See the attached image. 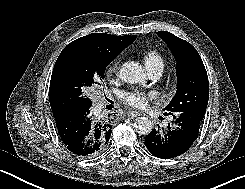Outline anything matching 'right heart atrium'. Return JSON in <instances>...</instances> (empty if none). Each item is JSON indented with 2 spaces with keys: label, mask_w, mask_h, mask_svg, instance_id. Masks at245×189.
I'll list each match as a JSON object with an SVG mask.
<instances>
[{
  "label": "right heart atrium",
  "mask_w": 245,
  "mask_h": 189,
  "mask_svg": "<svg viewBox=\"0 0 245 189\" xmlns=\"http://www.w3.org/2000/svg\"><path fill=\"white\" fill-rule=\"evenodd\" d=\"M119 65H120L119 59L113 60V61L110 62V64L107 66L106 72H107L109 75H118V73H119Z\"/></svg>",
  "instance_id": "obj_1"
}]
</instances>
